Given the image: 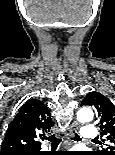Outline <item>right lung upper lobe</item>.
<instances>
[{"label":"right lung upper lobe","instance_id":"right-lung-upper-lobe-1","mask_svg":"<svg viewBox=\"0 0 115 155\" xmlns=\"http://www.w3.org/2000/svg\"><path fill=\"white\" fill-rule=\"evenodd\" d=\"M53 126L46 105L37 99L27 101L10 123L1 145L0 155H15L40 148V139Z\"/></svg>","mask_w":115,"mask_h":155}]
</instances>
